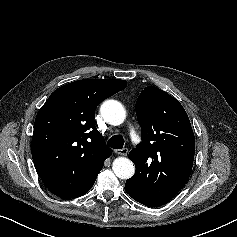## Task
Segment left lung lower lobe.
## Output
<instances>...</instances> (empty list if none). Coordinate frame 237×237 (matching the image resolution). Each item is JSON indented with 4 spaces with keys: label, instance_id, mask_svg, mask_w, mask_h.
I'll return each mask as SVG.
<instances>
[{
    "label": "left lung lower lobe",
    "instance_id": "left-lung-lower-lobe-1",
    "mask_svg": "<svg viewBox=\"0 0 237 237\" xmlns=\"http://www.w3.org/2000/svg\"><path fill=\"white\" fill-rule=\"evenodd\" d=\"M125 191L127 192V194H129L134 200L140 202V200L138 199V196L134 193V189L132 187V180L131 178L128 179L126 181V184H125ZM141 203V202H140ZM145 205V204H144ZM148 207H152V206H149V205H146Z\"/></svg>",
    "mask_w": 237,
    "mask_h": 237
}]
</instances>
